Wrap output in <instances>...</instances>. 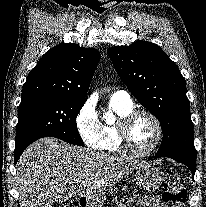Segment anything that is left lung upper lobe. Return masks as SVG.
Returning <instances> with one entry per match:
<instances>
[{
  "instance_id": "5c2ea615",
  "label": "left lung upper lobe",
  "mask_w": 206,
  "mask_h": 207,
  "mask_svg": "<svg viewBox=\"0 0 206 207\" xmlns=\"http://www.w3.org/2000/svg\"><path fill=\"white\" fill-rule=\"evenodd\" d=\"M108 55L131 93L160 122L163 141L158 155L196 161L185 78L177 65L147 41L112 47Z\"/></svg>"
}]
</instances>
